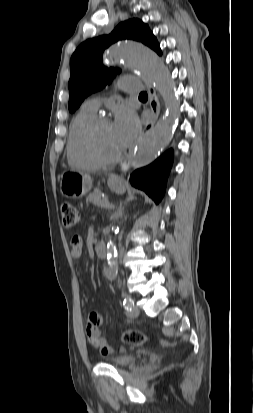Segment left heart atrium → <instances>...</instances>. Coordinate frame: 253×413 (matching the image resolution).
I'll return each instance as SVG.
<instances>
[{
  "label": "left heart atrium",
  "mask_w": 253,
  "mask_h": 413,
  "mask_svg": "<svg viewBox=\"0 0 253 413\" xmlns=\"http://www.w3.org/2000/svg\"><path fill=\"white\" fill-rule=\"evenodd\" d=\"M112 128L120 147L125 148L138 134L140 124L132 110L121 108L116 114Z\"/></svg>",
  "instance_id": "39dd6f15"
}]
</instances>
